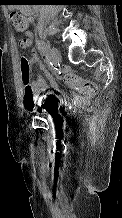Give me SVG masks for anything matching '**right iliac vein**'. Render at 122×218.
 Listing matches in <instances>:
<instances>
[{
  "mask_svg": "<svg viewBox=\"0 0 122 218\" xmlns=\"http://www.w3.org/2000/svg\"><path fill=\"white\" fill-rule=\"evenodd\" d=\"M51 60L54 62V63H59L61 61V54L60 52L52 47L51 48Z\"/></svg>",
  "mask_w": 122,
  "mask_h": 218,
  "instance_id": "right-iliac-vein-1",
  "label": "right iliac vein"
}]
</instances>
